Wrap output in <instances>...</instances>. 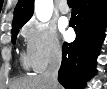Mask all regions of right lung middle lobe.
I'll use <instances>...</instances> for the list:
<instances>
[{"label":"right lung middle lobe","instance_id":"right-lung-middle-lobe-1","mask_svg":"<svg viewBox=\"0 0 107 89\" xmlns=\"http://www.w3.org/2000/svg\"><path fill=\"white\" fill-rule=\"evenodd\" d=\"M20 27H22V26L12 28V42H13V43H15L17 34H18V32H19L18 29H19Z\"/></svg>","mask_w":107,"mask_h":89}]
</instances>
